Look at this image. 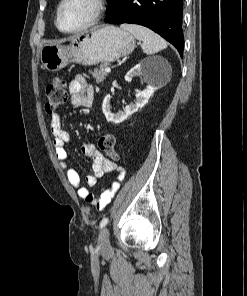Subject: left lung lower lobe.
Instances as JSON below:
<instances>
[{"mask_svg": "<svg viewBox=\"0 0 247 296\" xmlns=\"http://www.w3.org/2000/svg\"><path fill=\"white\" fill-rule=\"evenodd\" d=\"M183 0H111L104 21L146 26L171 44L183 57Z\"/></svg>", "mask_w": 247, "mask_h": 296, "instance_id": "0a47b994", "label": "left lung lower lobe"}]
</instances>
